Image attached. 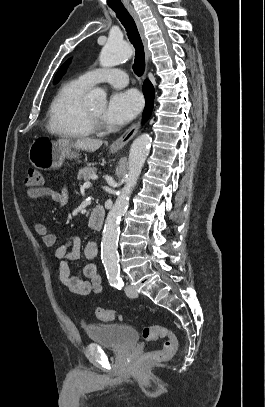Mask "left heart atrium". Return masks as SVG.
Returning <instances> with one entry per match:
<instances>
[{"label":"left heart atrium","mask_w":265,"mask_h":407,"mask_svg":"<svg viewBox=\"0 0 265 407\" xmlns=\"http://www.w3.org/2000/svg\"><path fill=\"white\" fill-rule=\"evenodd\" d=\"M142 104L141 96L134 90L115 92L107 103L104 119L114 125L128 123L140 112Z\"/></svg>","instance_id":"obj_1"}]
</instances>
